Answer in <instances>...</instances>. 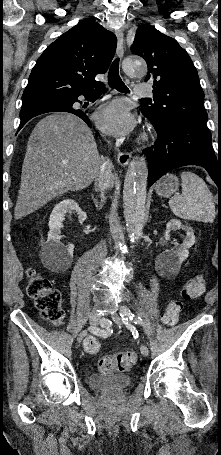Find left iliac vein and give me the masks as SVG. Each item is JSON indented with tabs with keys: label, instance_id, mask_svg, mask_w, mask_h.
I'll return each instance as SVG.
<instances>
[{
	"label": "left iliac vein",
	"instance_id": "left-iliac-vein-1",
	"mask_svg": "<svg viewBox=\"0 0 221 455\" xmlns=\"http://www.w3.org/2000/svg\"><path fill=\"white\" fill-rule=\"evenodd\" d=\"M121 308H122V307H121ZM120 310H121V309H120ZM112 320H113L116 324H118V325L122 324V322H121V317H120L117 313H115V314L112 315ZM140 351H141L142 355H144V356H147L148 353H149L148 348H147V346H146L145 344H142V345H141Z\"/></svg>",
	"mask_w": 221,
	"mask_h": 455
}]
</instances>
